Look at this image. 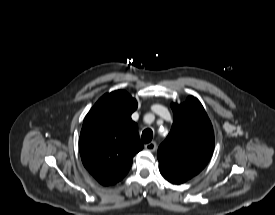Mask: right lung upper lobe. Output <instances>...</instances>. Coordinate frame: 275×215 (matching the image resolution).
I'll return each instance as SVG.
<instances>
[{
  "label": "right lung upper lobe",
  "instance_id": "right-lung-upper-lobe-1",
  "mask_svg": "<svg viewBox=\"0 0 275 215\" xmlns=\"http://www.w3.org/2000/svg\"><path fill=\"white\" fill-rule=\"evenodd\" d=\"M137 101L126 91L102 96L86 115L79 139L86 169L102 185H112L128 173L133 157L143 149L131 114Z\"/></svg>",
  "mask_w": 275,
  "mask_h": 215
}]
</instances>
